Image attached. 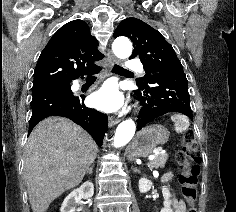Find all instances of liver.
<instances>
[{
    "instance_id": "obj_1",
    "label": "liver",
    "mask_w": 236,
    "mask_h": 212,
    "mask_svg": "<svg viewBox=\"0 0 236 212\" xmlns=\"http://www.w3.org/2000/svg\"><path fill=\"white\" fill-rule=\"evenodd\" d=\"M97 150L92 137L67 118L48 117L38 123L28 138L24 159L32 211L46 212L53 200L79 185Z\"/></svg>"
}]
</instances>
